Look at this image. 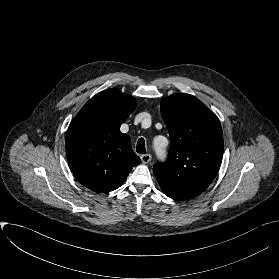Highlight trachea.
<instances>
[{"label":"trachea","mask_w":279,"mask_h":279,"mask_svg":"<svg viewBox=\"0 0 279 279\" xmlns=\"http://www.w3.org/2000/svg\"><path fill=\"white\" fill-rule=\"evenodd\" d=\"M136 151L140 154H146L145 141L143 138L138 140Z\"/></svg>","instance_id":"trachea-1"}]
</instances>
